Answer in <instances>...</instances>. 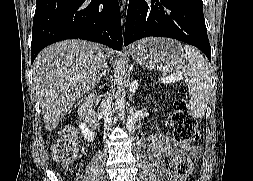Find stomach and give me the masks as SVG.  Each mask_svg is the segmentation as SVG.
Returning a JSON list of instances; mask_svg holds the SVG:
<instances>
[{
	"mask_svg": "<svg viewBox=\"0 0 253 181\" xmlns=\"http://www.w3.org/2000/svg\"><path fill=\"white\" fill-rule=\"evenodd\" d=\"M139 65L164 72L178 71L184 65L181 44L170 38L149 37L137 42L131 50Z\"/></svg>",
	"mask_w": 253,
	"mask_h": 181,
	"instance_id": "0dacf381",
	"label": "stomach"
}]
</instances>
